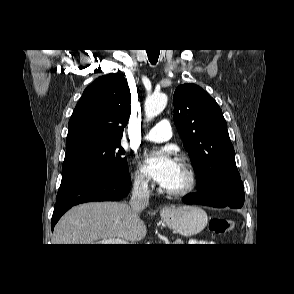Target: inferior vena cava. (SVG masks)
I'll return each instance as SVG.
<instances>
[{"mask_svg": "<svg viewBox=\"0 0 294 294\" xmlns=\"http://www.w3.org/2000/svg\"><path fill=\"white\" fill-rule=\"evenodd\" d=\"M129 204L133 213L137 216L149 204L148 182L145 179L138 178L134 181Z\"/></svg>", "mask_w": 294, "mask_h": 294, "instance_id": "1", "label": "inferior vena cava"}]
</instances>
